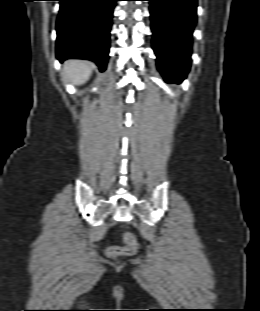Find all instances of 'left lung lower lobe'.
<instances>
[{"label": "left lung lower lobe", "mask_w": 260, "mask_h": 311, "mask_svg": "<svg viewBox=\"0 0 260 311\" xmlns=\"http://www.w3.org/2000/svg\"><path fill=\"white\" fill-rule=\"evenodd\" d=\"M150 2L153 49L166 82L180 83L191 64V35L196 23L197 0Z\"/></svg>", "instance_id": "1"}]
</instances>
